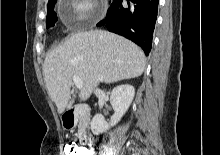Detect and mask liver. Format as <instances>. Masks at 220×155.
<instances>
[{
  "mask_svg": "<svg viewBox=\"0 0 220 155\" xmlns=\"http://www.w3.org/2000/svg\"><path fill=\"white\" fill-rule=\"evenodd\" d=\"M145 55L133 42L104 30L78 32L50 51L43 64L47 92L59 114L71 98L73 76L83 82L80 100H87L100 82L107 84L140 76Z\"/></svg>",
  "mask_w": 220,
  "mask_h": 155,
  "instance_id": "obj_1",
  "label": "liver"
}]
</instances>
